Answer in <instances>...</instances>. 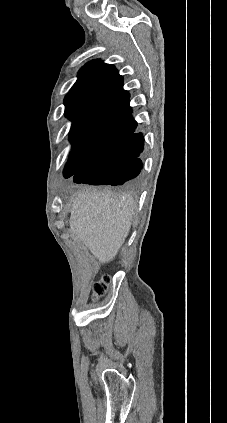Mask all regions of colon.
<instances>
[{"label":"colon","mask_w":227,"mask_h":423,"mask_svg":"<svg viewBox=\"0 0 227 423\" xmlns=\"http://www.w3.org/2000/svg\"><path fill=\"white\" fill-rule=\"evenodd\" d=\"M108 289V278L97 281L93 286V299L97 300L99 297L105 295L108 292Z\"/></svg>","instance_id":"obj_1"}]
</instances>
